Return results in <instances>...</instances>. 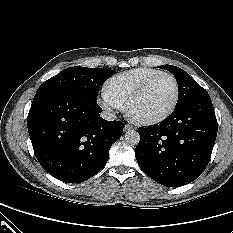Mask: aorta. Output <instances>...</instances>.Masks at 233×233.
Returning <instances> with one entry per match:
<instances>
[{
	"instance_id": "aorta-1",
	"label": "aorta",
	"mask_w": 233,
	"mask_h": 233,
	"mask_svg": "<svg viewBox=\"0 0 233 233\" xmlns=\"http://www.w3.org/2000/svg\"><path fill=\"white\" fill-rule=\"evenodd\" d=\"M125 140L131 145H137L140 141V135L135 130H128L125 134Z\"/></svg>"
}]
</instances>
